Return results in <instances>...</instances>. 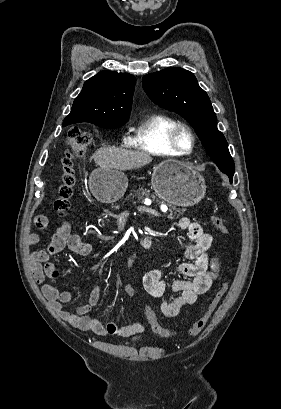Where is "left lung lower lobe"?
I'll use <instances>...</instances> for the list:
<instances>
[{
    "instance_id": "obj_1",
    "label": "left lung lower lobe",
    "mask_w": 281,
    "mask_h": 409,
    "mask_svg": "<svg viewBox=\"0 0 281 409\" xmlns=\"http://www.w3.org/2000/svg\"><path fill=\"white\" fill-rule=\"evenodd\" d=\"M228 175V177L230 178V182L232 183V180H233V174H227Z\"/></svg>"
}]
</instances>
